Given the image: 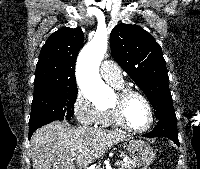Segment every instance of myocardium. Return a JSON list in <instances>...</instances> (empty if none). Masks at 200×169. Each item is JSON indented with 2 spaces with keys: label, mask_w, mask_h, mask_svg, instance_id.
I'll use <instances>...</instances> for the list:
<instances>
[{
  "label": "myocardium",
  "mask_w": 200,
  "mask_h": 169,
  "mask_svg": "<svg viewBox=\"0 0 200 169\" xmlns=\"http://www.w3.org/2000/svg\"><path fill=\"white\" fill-rule=\"evenodd\" d=\"M131 96L140 97L148 107L149 115H150L149 122L146 126L142 128H134L130 126L129 123L127 122L126 113H125V105H126L127 99ZM111 107L113 109V112L115 114L116 120L119 123V125L130 132H134V133L145 132L149 130L154 123L155 114H154L152 103L143 92L137 89L129 88V87H122L118 89L116 93V99L112 103Z\"/></svg>",
  "instance_id": "1"
}]
</instances>
